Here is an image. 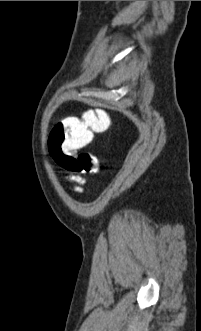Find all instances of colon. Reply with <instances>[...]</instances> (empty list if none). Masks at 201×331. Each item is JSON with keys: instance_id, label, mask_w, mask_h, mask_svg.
<instances>
[{"instance_id": "5ec220e1", "label": "colon", "mask_w": 201, "mask_h": 331, "mask_svg": "<svg viewBox=\"0 0 201 331\" xmlns=\"http://www.w3.org/2000/svg\"><path fill=\"white\" fill-rule=\"evenodd\" d=\"M111 125L103 110H90L81 117H66L57 122L49 136L48 148L55 162L66 172L97 173L99 160L88 152H75L88 145L94 133H102Z\"/></svg>"}]
</instances>
